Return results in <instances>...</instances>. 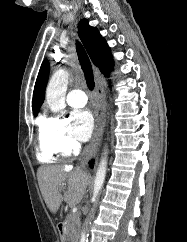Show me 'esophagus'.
Masks as SVG:
<instances>
[{"mask_svg": "<svg viewBox=\"0 0 187 242\" xmlns=\"http://www.w3.org/2000/svg\"><path fill=\"white\" fill-rule=\"evenodd\" d=\"M96 75H98V72H96ZM96 93L99 101H98L95 129H94V133L91 141L84 149L83 160H82L83 164H86L87 161L91 159L92 156L95 154L98 148V145L100 143L101 135L104 127L106 99H105L103 86L99 81L96 83Z\"/></svg>", "mask_w": 187, "mask_h": 242, "instance_id": "obj_1", "label": "esophagus"}]
</instances>
